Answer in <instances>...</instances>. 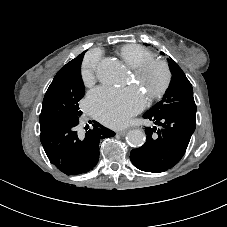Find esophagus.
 Here are the masks:
<instances>
[{
  "label": "esophagus",
  "instance_id": "obj_1",
  "mask_svg": "<svg viewBox=\"0 0 227 227\" xmlns=\"http://www.w3.org/2000/svg\"><path fill=\"white\" fill-rule=\"evenodd\" d=\"M116 133L120 136H124L127 133V130H119Z\"/></svg>",
  "mask_w": 227,
  "mask_h": 227
}]
</instances>
